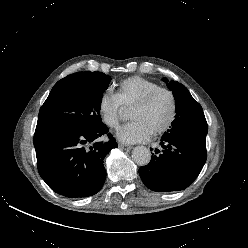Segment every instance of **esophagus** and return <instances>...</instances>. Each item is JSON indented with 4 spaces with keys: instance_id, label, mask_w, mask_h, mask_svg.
Returning <instances> with one entry per match:
<instances>
[{
    "instance_id": "esophagus-1",
    "label": "esophagus",
    "mask_w": 248,
    "mask_h": 248,
    "mask_svg": "<svg viewBox=\"0 0 248 248\" xmlns=\"http://www.w3.org/2000/svg\"><path fill=\"white\" fill-rule=\"evenodd\" d=\"M119 147H120L121 149L126 150V151H130V150L132 149V147H131L130 145H127V144H124V143H120V144H119Z\"/></svg>"
}]
</instances>
